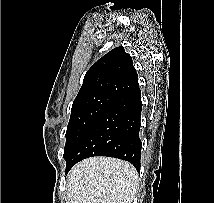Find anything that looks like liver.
<instances>
[{
	"label": "liver",
	"mask_w": 214,
	"mask_h": 203,
	"mask_svg": "<svg viewBox=\"0 0 214 203\" xmlns=\"http://www.w3.org/2000/svg\"><path fill=\"white\" fill-rule=\"evenodd\" d=\"M137 186L135 168L110 157L85 159L67 176L69 203H132Z\"/></svg>",
	"instance_id": "1"
}]
</instances>
